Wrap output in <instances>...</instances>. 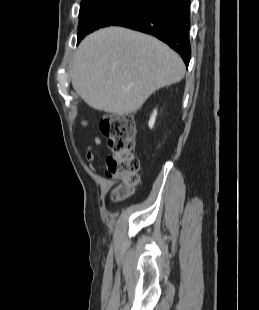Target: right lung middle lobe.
I'll return each instance as SVG.
<instances>
[{
	"label": "right lung middle lobe",
	"instance_id": "right-lung-middle-lobe-1",
	"mask_svg": "<svg viewBox=\"0 0 259 310\" xmlns=\"http://www.w3.org/2000/svg\"><path fill=\"white\" fill-rule=\"evenodd\" d=\"M157 0H105L87 8H80L78 43L89 33L126 18Z\"/></svg>",
	"mask_w": 259,
	"mask_h": 310
}]
</instances>
